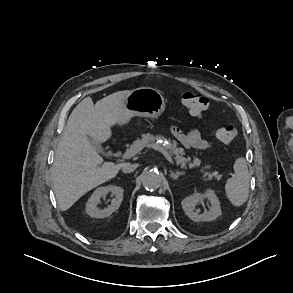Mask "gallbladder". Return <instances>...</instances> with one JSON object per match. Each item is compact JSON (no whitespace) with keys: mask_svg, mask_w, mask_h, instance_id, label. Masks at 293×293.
I'll use <instances>...</instances> for the list:
<instances>
[{"mask_svg":"<svg viewBox=\"0 0 293 293\" xmlns=\"http://www.w3.org/2000/svg\"><path fill=\"white\" fill-rule=\"evenodd\" d=\"M89 140H90L91 144H93L94 147H95L99 152H102V147H101V145H100L98 142H96V141L93 140L92 138H89Z\"/></svg>","mask_w":293,"mask_h":293,"instance_id":"bac80fb5","label":"gallbladder"}]
</instances>
